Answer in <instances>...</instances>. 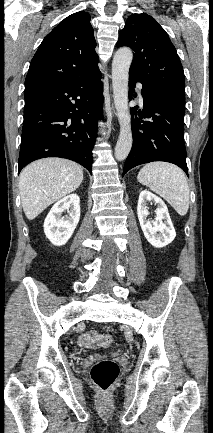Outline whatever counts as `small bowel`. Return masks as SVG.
<instances>
[{"instance_id":"1","label":"small bowel","mask_w":213,"mask_h":433,"mask_svg":"<svg viewBox=\"0 0 213 433\" xmlns=\"http://www.w3.org/2000/svg\"><path fill=\"white\" fill-rule=\"evenodd\" d=\"M78 343L86 348L102 347L105 345L102 336L94 331L81 335L78 339Z\"/></svg>"}]
</instances>
